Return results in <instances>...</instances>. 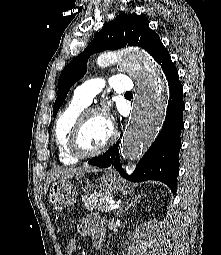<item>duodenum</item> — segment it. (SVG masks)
Wrapping results in <instances>:
<instances>
[{"mask_svg":"<svg viewBox=\"0 0 221 255\" xmlns=\"http://www.w3.org/2000/svg\"><path fill=\"white\" fill-rule=\"evenodd\" d=\"M94 247L97 249V250H100L102 248V239L100 238H95L94 241Z\"/></svg>","mask_w":221,"mask_h":255,"instance_id":"obj_1","label":"duodenum"}]
</instances>
